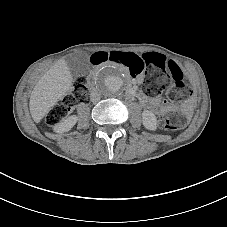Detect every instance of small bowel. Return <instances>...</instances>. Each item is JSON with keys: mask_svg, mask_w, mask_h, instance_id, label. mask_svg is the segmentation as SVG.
Segmentation results:
<instances>
[{"mask_svg": "<svg viewBox=\"0 0 227 227\" xmlns=\"http://www.w3.org/2000/svg\"><path fill=\"white\" fill-rule=\"evenodd\" d=\"M157 54H159V53H157ZM159 55H162V54H159ZM111 64L117 65L114 63H111ZM145 107L154 113H161V112H165L168 110V105L166 104V102H163L158 99H147V103H146Z\"/></svg>", "mask_w": 227, "mask_h": 227, "instance_id": "1", "label": "small bowel"}]
</instances>
